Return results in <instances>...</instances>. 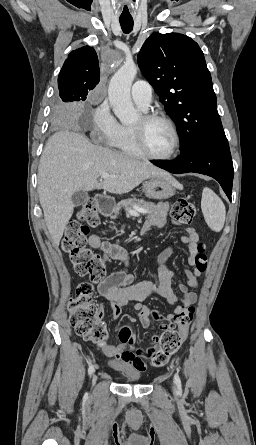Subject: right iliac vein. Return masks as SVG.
Returning a JSON list of instances; mask_svg holds the SVG:
<instances>
[{
	"mask_svg": "<svg viewBox=\"0 0 256 445\" xmlns=\"http://www.w3.org/2000/svg\"><path fill=\"white\" fill-rule=\"evenodd\" d=\"M96 381H97V375L94 373L92 375V385H94L96 383Z\"/></svg>",
	"mask_w": 256,
	"mask_h": 445,
	"instance_id": "1",
	"label": "right iliac vein"
}]
</instances>
